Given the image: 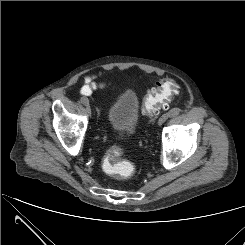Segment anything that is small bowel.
Segmentation results:
<instances>
[{"label":"small bowel","mask_w":245,"mask_h":245,"mask_svg":"<svg viewBox=\"0 0 245 245\" xmlns=\"http://www.w3.org/2000/svg\"><path fill=\"white\" fill-rule=\"evenodd\" d=\"M96 79L95 75L85 77L80 93L84 96H90L94 91L105 88V83L98 82Z\"/></svg>","instance_id":"obj_1"}]
</instances>
